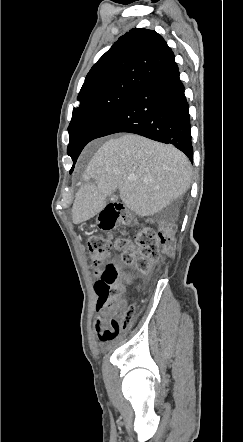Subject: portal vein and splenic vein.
Segmentation results:
<instances>
[{
  "label": "portal vein and splenic vein",
  "instance_id": "portal-vein-and-splenic-vein-1",
  "mask_svg": "<svg viewBox=\"0 0 243 442\" xmlns=\"http://www.w3.org/2000/svg\"><path fill=\"white\" fill-rule=\"evenodd\" d=\"M136 178H137V177H136L135 175H132V176L129 177L130 180H134V179H136Z\"/></svg>",
  "mask_w": 243,
  "mask_h": 442
}]
</instances>
